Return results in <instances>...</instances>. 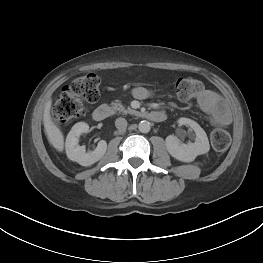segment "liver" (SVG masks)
<instances>
[{
    "label": "liver",
    "mask_w": 263,
    "mask_h": 263,
    "mask_svg": "<svg viewBox=\"0 0 263 263\" xmlns=\"http://www.w3.org/2000/svg\"><path fill=\"white\" fill-rule=\"evenodd\" d=\"M51 105H52V100L49 99L45 104L44 113H43L44 128L49 142L56 150L62 152L64 149V136L61 130L53 123L51 119L50 116Z\"/></svg>",
    "instance_id": "6515ba94"
}]
</instances>
